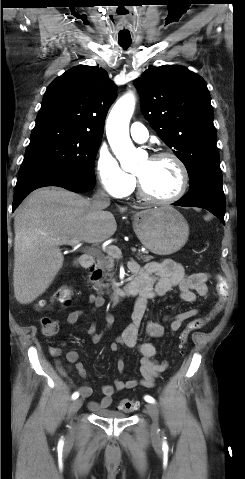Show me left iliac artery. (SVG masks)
<instances>
[{"label":"left iliac artery","mask_w":245,"mask_h":479,"mask_svg":"<svg viewBox=\"0 0 245 479\" xmlns=\"http://www.w3.org/2000/svg\"><path fill=\"white\" fill-rule=\"evenodd\" d=\"M144 399H145L146 402L155 403L154 398L151 397V396H149V395H146V396L144 397Z\"/></svg>","instance_id":"left-iliac-artery-1"}]
</instances>
